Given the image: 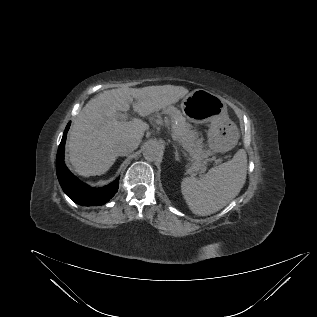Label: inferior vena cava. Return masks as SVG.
<instances>
[{
    "mask_svg": "<svg viewBox=\"0 0 317 317\" xmlns=\"http://www.w3.org/2000/svg\"><path fill=\"white\" fill-rule=\"evenodd\" d=\"M137 141L122 142L116 147V153L118 156H126L138 147Z\"/></svg>",
    "mask_w": 317,
    "mask_h": 317,
    "instance_id": "obj_1",
    "label": "inferior vena cava"
}]
</instances>
